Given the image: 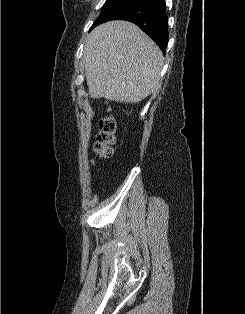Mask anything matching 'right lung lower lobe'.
Returning <instances> with one entry per match:
<instances>
[{
    "mask_svg": "<svg viewBox=\"0 0 245 314\" xmlns=\"http://www.w3.org/2000/svg\"><path fill=\"white\" fill-rule=\"evenodd\" d=\"M111 20H126L138 25L165 51L168 43V18L164 0H128L99 24Z\"/></svg>",
    "mask_w": 245,
    "mask_h": 314,
    "instance_id": "right-lung-lower-lobe-1",
    "label": "right lung lower lobe"
}]
</instances>
